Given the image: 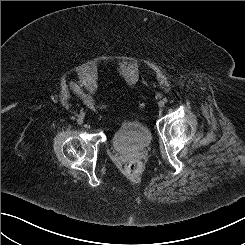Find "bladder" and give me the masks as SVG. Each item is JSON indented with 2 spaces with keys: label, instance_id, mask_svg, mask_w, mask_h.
Listing matches in <instances>:
<instances>
[{
  "label": "bladder",
  "instance_id": "31cf9c89",
  "mask_svg": "<svg viewBox=\"0 0 245 245\" xmlns=\"http://www.w3.org/2000/svg\"><path fill=\"white\" fill-rule=\"evenodd\" d=\"M151 141L149 127L142 121L134 119L123 120L111 137L112 146L123 153L145 149Z\"/></svg>",
  "mask_w": 245,
  "mask_h": 245
}]
</instances>
